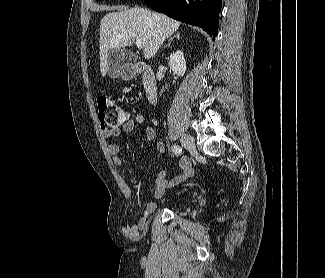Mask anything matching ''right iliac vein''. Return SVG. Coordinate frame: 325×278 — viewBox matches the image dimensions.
Masks as SVG:
<instances>
[{"mask_svg":"<svg viewBox=\"0 0 325 278\" xmlns=\"http://www.w3.org/2000/svg\"><path fill=\"white\" fill-rule=\"evenodd\" d=\"M180 141L186 149L193 153H196L195 140L191 135L182 133L180 135Z\"/></svg>","mask_w":325,"mask_h":278,"instance_id":"right-iliac-vein-1","label":"right iliac vein"}]
</instances>
